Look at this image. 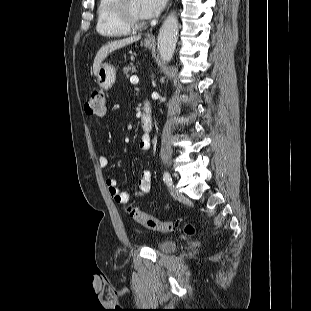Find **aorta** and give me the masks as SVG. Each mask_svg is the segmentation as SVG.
Returning <instances> with one entry per match:
<instances>
[{"instance_id":"aorta-1","label":"aorta","mask_w":311,"mask_h":311,"mask_svg":"<svg viewBox=\"0 0 311 311\" xmlns=\"http://www.w3.org/2000/svg\"><path fill=\"white\" fill-rule=\"evenodd\" d=\"M177 39L178 19L175 12H171L163 22L157 38V50L164 62L172 59Z\"/></svg>"}]
</instances>
